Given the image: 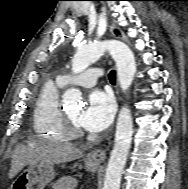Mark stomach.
<instances>
[{
    "label": "stomach",
    "mask_w": 188,
    "mask_h": 189,
    "mask_svg": "<svg viewBox=\"0 0 188 189\" xmlns=\"http://www.w3.org/2000/svg\"><path fill=\"white\" fill-rule=\"evenodd\" d=\"M98 163L85 161V168L89 171H95ZM55 177L53 165H45L41 163L30 165L26 168L12 183V189H44ZM66 181V179H63Z\"/></svg>",
    "instance_id": "obj_1"
}]
</instances>
